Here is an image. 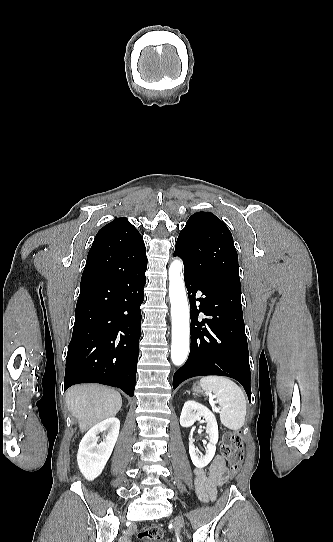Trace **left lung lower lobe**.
Listing matches in <instances>:
<instances>
[{
  "mask_svg": "<svg viewBox=\"0 0 333 542\" xmlns=\"http://www.w3.org/2000/svg\"><path fill=\"white\" fill-rule=\"evenodd\" d=\"M174 256L179 255L174 252ZM184 280L191 308V348L186 363L174 374L173 388L195 376H228L241 383L250 400L249 351L240 286L203 275L185 265ZM199 291L204 297L196 299ZM196 301L201 303L199 309ZM200 312L208 317L201 322Z\"/></svg>",
  "mask_w": 333,
  "mask_h": 542,
  "instance_id": "1",
  "label": "left lung lower lobe"
}]
</instances>
